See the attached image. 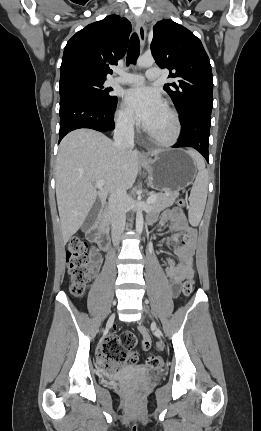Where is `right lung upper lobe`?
Listing matches in <instances>:
<instances>
[{"mask_svg":"<svg viewBox=\"0 0 261 431\" xmlns=\"http://www.w3.org/2000/svg\"><path fill=\"white\" fill-rule=\"evenodd\" d=\"M130 32L131 23L118 15L87 25L67 42L60 75L83 71L106 79L109 65L126 53Z\"/></svg>","mask_w":261,"mask_h":431,"instance_id":"cb5924a9","label":"right lung upper lobe"}]
</instances>
